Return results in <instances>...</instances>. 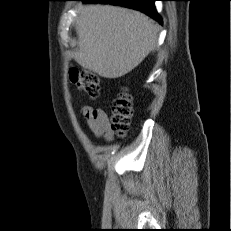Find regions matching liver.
<instances>
[{"label":"liver","instance_id":"obj_1","mask_svg":"<svg viewBox=\"0 0 231 231\" xmlns=\"http://www.w3.org/2000/svg\"><path fill=\"white\" fill-rule=\"evenodd\" d=\"M76 32V62L110 79L137 67L157 40L156 25L146 15L112 5H83Z\"/></svg>","mask_w":231,"mask_h":231}]
</instances>
